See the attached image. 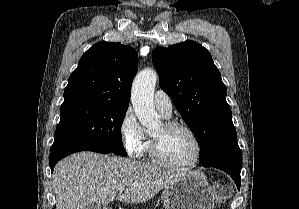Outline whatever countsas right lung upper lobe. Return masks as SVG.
Returning a JSON list of instances; mask_svg holds the SVG:
<instances>
[{
    "label": "right lung upper lobe",
    "mask_w": 299,
    "mask_h": 209,
    "mask_svg": "<svg viewBox=\"0 0 299 209\" xmlns=\"http://www.w3.org/2000/svg\"><path fill=\"white\" fill-rule=\"evenodd\" d=\"M137 69L135 49L119 43L98 42L82 55L70 75L62 105L129 106Z\"/></svg>",
    "instance_id": "1"
}]
</instances>
